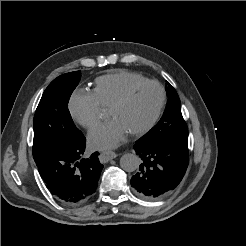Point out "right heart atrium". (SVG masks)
<instances>
[{
  "mask_svg": "<svg viewBox=\"0 0 246 246\" xmlns=\"http://www.w3.org/2000/svg\"><path fill=\"white\" fill-rule=\"evenodd\" d=\"M68 110L72 119L90 129L96 126L102 117V107L90 91L76 90L68 101Z\"/></svg>",
  "mask_w": 246,
  "mask_h": 246,
  "instance_id": "d8ad5b80",
  "label": "right heart atrium"
}]
</instances>
